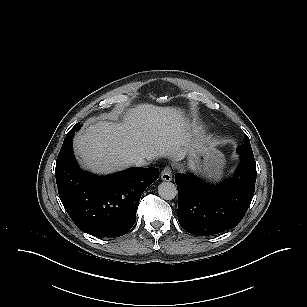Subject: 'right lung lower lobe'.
<instances>
[{
    "label": "right lung lower lobe",
    "mask_w": 307,
    "mask_h": 307,
    "mask_svg": "<svg viewBox=\"0 0 307 307\" xmlns=\"http://www.w3.org/2000/svg\"><path fill=\"white\" fill-rule=\"evenodd\" d=\"M74 134L68 132L56 161L62 204L83 232L97 237L122 236L135 224L140 197L158 179L159 170L135 167L103 177L81 171L72 151Z\"/></svg>",
    "instance_id": "obj_1"
}]
</instances>
